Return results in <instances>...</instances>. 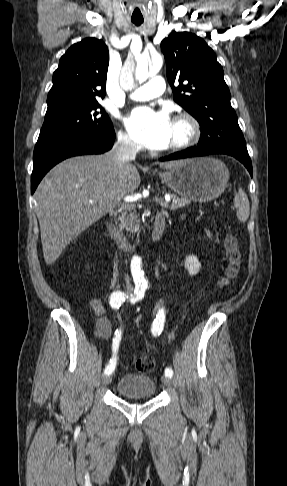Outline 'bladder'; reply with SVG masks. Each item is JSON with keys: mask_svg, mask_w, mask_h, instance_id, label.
<instances>
[{"mask_svg": "<svg viewBox=\"0 0 287 486\" xmlns=\"http://www.w3.org/2000/svg\"><path fill=\"white\" fill-rule=\"evenodd\" d=\"M116 391L131 398H151L156 393V382L144 374H126L116 383Z\"/></svg>", "mask_w": 287, "mask_h": 486, "instance_id": "bladder-1", "label": "bladder"}]
</instances>
